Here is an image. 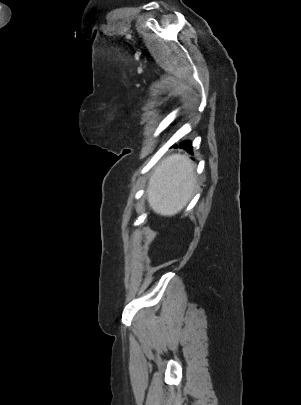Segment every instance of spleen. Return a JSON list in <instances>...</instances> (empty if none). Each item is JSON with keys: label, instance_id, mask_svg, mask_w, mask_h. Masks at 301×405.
Here are the masks:
<instances>
[{"label": "spleen", "instance_id": "3e777b00", "mask_svg": "<svg viewBox=\"0 0 301 405\" xmlns=\"http://www.w3.org/2000/svg\"><path fill=\"white\" fill-rule=\"evenodd\" d=\"M196 187L193 162L188 156L173 154L154 171L148 186V202L153 210L164 216L181 211Z\"/></svg>", "mask_w": 301, "mask_h": 405}]
</instances>
